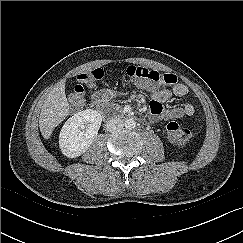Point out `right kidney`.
Instances as JSON below:
<instances>
[{"instance_id":"ca27d5eb","label":"right kidney","mask_w":243,"mask_h":243,"mask_svg":"<svg viewBox=\"0 0 243 243\" xmlns=\"http://www.w3.org/2000/svg\"><path fill=\"white\" fill-rule=\"evenodd\" d=\"M101 114L86 109L74 114L63 125L59 135V147L68 158H76L85 153L101 126Z\"/></svg>"}]
</instances>
